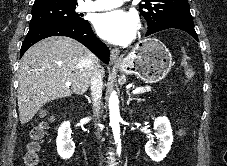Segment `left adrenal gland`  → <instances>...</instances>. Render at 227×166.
I'll list each match as a JSON object with an SVG mask.
<instances>
[{
    "label": "left adrenal gland",
    "mask_w": 227,
    "mask_h": 166,
    "mask_svg": "<svg viewBox=\"0 0 227 166\" xmlns=\"http://www.w3.org/2000/svg\"><path fill=\"white\" fill-rule=\"evenodd\" d=\"M126 93L128 95V100H127V103H126L127 105H129L130 102L133 101V100L138 101V102L142 101L140 98L131 97V94L128 90L126 91Z\"/></svg>",
    "instance_id": "left-adrenal-gland-1"
}]
</instances>
